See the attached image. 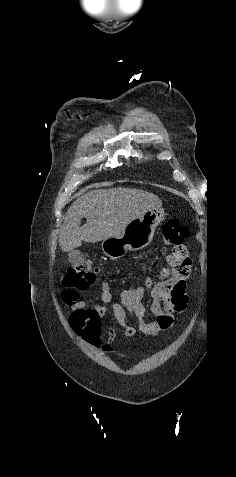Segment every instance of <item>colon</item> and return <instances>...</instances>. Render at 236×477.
I'll list each match as a JSON object with an SVG mask.
<instances>
[{"mask_svg": "<svg viewBox=\"0 0 236 477\" xmlns=\"http://www.w3.org/2000/svg\"><path fill=\"white\" fill-rule=\"evenodd\" d=\"M188 233V228L177 219L170 220L162 228L164 243L171 247V252L167 257L171 270L164 272V282L183 274L182 271H179V267L182 261L188 257L187 248L183 244ZM98 272L99 268L91 264L90 256L87 255L84 262L71 266L67 270L62 284L66 291L71 293L72 298L77 300L79 292L88 289L94 284ZM166 289H169V287L166 286Z\"/></svg>", "mask_w": 236, "mask_h": 477, "instance_id": "1", "label": "colon"}]
</instances>
